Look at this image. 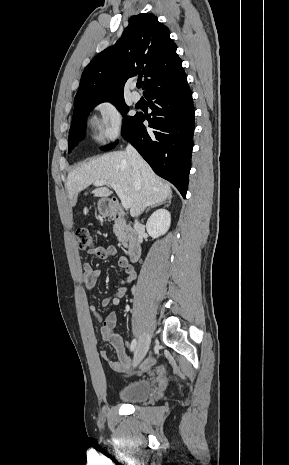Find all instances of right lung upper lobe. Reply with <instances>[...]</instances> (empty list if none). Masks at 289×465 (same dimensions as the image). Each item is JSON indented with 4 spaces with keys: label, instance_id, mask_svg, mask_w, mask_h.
<instances>
[{
    "label": "right lung upper lobe",
    "instance_id": "right-lung-upper-lobe-1",
    "mask_svg": "<svg viewBox=\"0 0 289 465\" xmlns=\"http://www.w3.org/2000/svg\"><path fill=\"white\" fill-rule=\"evenodd\" d=\"M144 77V96L186 79L168 27L154 14L132 16L115 45L105 49L86 66L74 105L89 100L124 99L125 82Z\"/></svg>",
    "mask_w": 289,
    "mask_h": 465
}]
</instances>
